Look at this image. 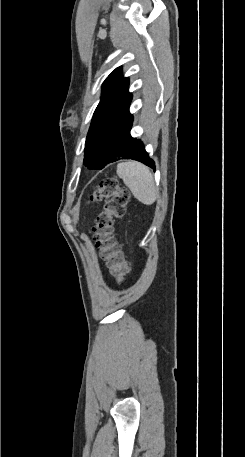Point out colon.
Returning a JSON list of instances; mask_svg holds the SVG:
<instances>
[{
  "instance_id": "1",
  "label": "colon",
  "mask_w": 245,
  "mask_h": 457,
  "mask_svg": "<svg viewBox=\"0 0 245 457\" xmlns=\"http://www.w3.org/2000/svg\"><path fill=\"white\" fill-rule=\"evenodd\" d=\"M129 198V192L114 177L103 179L90 197L91 201L103 202L102 211L95 220V242L103 252L110 272L120 283L127 278L130 264L114 236V221L125 215Z\"/></svg>"
}]
</instances>
